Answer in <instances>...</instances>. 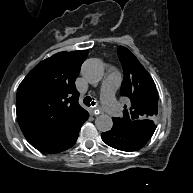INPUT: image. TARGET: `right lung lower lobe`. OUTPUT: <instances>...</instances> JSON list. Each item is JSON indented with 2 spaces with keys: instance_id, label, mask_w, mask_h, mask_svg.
Segmentation results:
<instances>
[{
  "instance_id": "98d812e1",
  "label": "right lung lower lobe",
  "mask_w": 193,
  "mask_h": 193,
  "mask_svg": "<svg viewBox=\"0 0 193 193\" xmlns=\"http://www.w3.org/2000/svg\"><path fill=\"white\" fill-rule=\"evenodd\" d=\"M76 139H77V137L73 141H71L65 148L59 150L58 152H61V151H64V150L70 148L76 142Z\"/></svg>"
}]
</instances>
